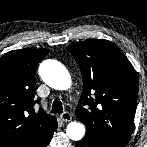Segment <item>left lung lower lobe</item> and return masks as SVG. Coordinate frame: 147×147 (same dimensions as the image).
<instances>
[{
    "label": "left lung lower lobe",
    "mask_w": 147,
    "mask_h": 147,
    "mask_svg": "<svg viewBox=\"0 0 147 147\" xmlns=\"http://www.w3.org/2000/svg\"><path fill=\"white\" fill-rule=\"evenodd\" d=\"M76 147H105L92 138L85 136L82 140L77 141Z\"/></svg>",
    "instance_id": "1"
}]
</instances>
